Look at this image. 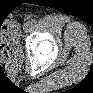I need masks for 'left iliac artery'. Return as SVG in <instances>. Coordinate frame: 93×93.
I'll list each match as a JSON object with an SVG mask.
<instances>
[{
	"label": "left iliac artery",
	"instance_id": "44dca946",
	"mask_svg": "<svg viewBox=\"0 0 93 93\" xmlns=\"http://www.w3.org/2000/svg\"><path fill=\"white\" fill-rule=\"evenodd\" d=\"M36 22H37V21H36L35 19H32V20H31L32 25L36 24Z\"/></svg>",
	"mask_w": 93,
	"mask_h": 93
}]
</instances>
